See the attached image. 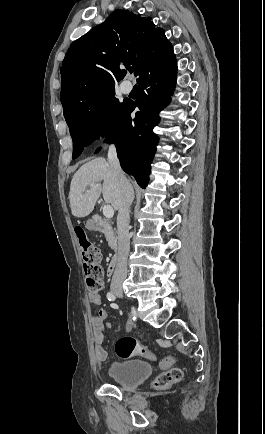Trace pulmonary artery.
I'll return each instance as SVG.
<instances>
[{
    "label": "pulmonary artery",
    "mask_w": 265,
    "mask_h": 434,
    "mask_svg": "<svg viewBox=\"0 0 265 434\" xmlns=\"http://www.w3.org/2000/svg\"><path fill=\"white\" fill-rule=\"evenodd\" d=\"M121 91L123 94H129L131 91V88L129 86L121 85Z\"/></svg>",
    "instance_id": "pulmonary-artery-1"
}]
</instances>
